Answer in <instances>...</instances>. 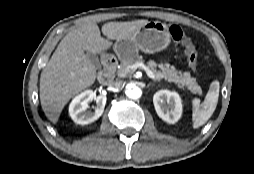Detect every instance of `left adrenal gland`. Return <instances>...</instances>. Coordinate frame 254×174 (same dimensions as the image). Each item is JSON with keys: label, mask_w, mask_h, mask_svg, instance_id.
I'll list each match as a JSON object with an SVG mask.
<instances>
[{"label": "left adrenal gland", "mask_w": 254, "mask_h": 174, "mask_svg": "<svg viewBox=\"0 0 254 174\" xmlns=\"http://www.w3.org/2000/svg\"><path fill=\"white\" fill-rule=\"evenodd\" d=\"M151 85H153V84H149L148 87L151 86Z\"/></svg>", "instance_id": "left-adrenal-gland-1"}]
</instances>
